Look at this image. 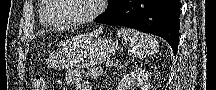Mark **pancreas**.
Segmentation results:
<instances>
[{
    "label": "pancreas",
    "instance_id": "pancreas-1",
    "mask_svg": "<svg viewBox=\"0 0 216 90\" xmlns=\"http://www.w3.org/2000/svg\"><path fill=\"white\" fill-rule=\"evenodd\" d=\"M89 72H86V76H89V78H97L98 74L102 72V65L101 64H90ZM99 69V70H98Z\"/></svg>",
    "mask_w": 216,
    "mask_h": 90
}]
</instances>
